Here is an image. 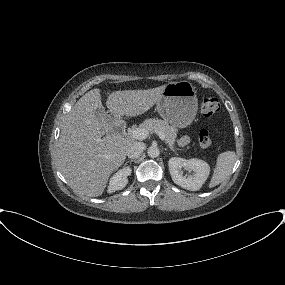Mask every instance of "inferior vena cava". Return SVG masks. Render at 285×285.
<instances>
[{
	"mask_svg": "<svg viewBox=\"0 0 285 285\" xmlns=\"http://www.w3.org/2000/svg\"><path fill=\"white\" fill-rule=\"evenodd\" d=\"M144 148H145V145L141 142L133 143L128 149V152H127L128 158L130 159L138 158L143 152Z\"/></svg>",
	"mask_w": 285,
	"mask_h": 285,
	"instance_id": "inferior-vena-cava-1",
	"label": "inferior vena cava"
}]
</instances>
